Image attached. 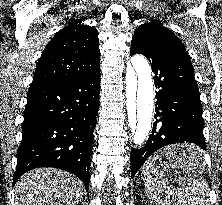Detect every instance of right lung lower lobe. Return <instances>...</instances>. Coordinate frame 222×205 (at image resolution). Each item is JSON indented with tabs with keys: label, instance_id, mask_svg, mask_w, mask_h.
<instances>
[{
	"label": "right lung lower lobe",
	"instance_id": "right-lung-lower-lobe-1",
	"mask_svg": "<svg viewBox=\"0 0 222 205\" xmlns=\"http://www.w3.org/2000/svg\"><path fill=\"white\" fill-rule=\"evenodd\" d=\"M100 67L76 79L30 86L13 184L37 167L66 170L88 190Z\"/></svg>",
	"mask_w": 222,
	"mask_h": 205
}]
</instances>
